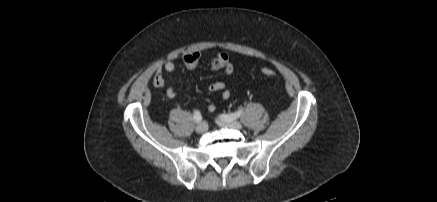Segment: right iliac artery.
<instances>
[{
  "instance_id": "obj_1",
  "label": "right iliac artery",
  "mask_w": 437,
  "mask_h": 202,
  "mask_svg": "<svg viewBox=\"0 0 437 202\" xmlns=\"http://www.w3.org/2000/svg\"><path fill=\"white\" fill-rule=\"evenodd\" d=\"M193 118H194V120H195L197 123H200L201 120H202V115H201V113L197 110V111L194 112Z\"/></svg>"
}]
</instances>
